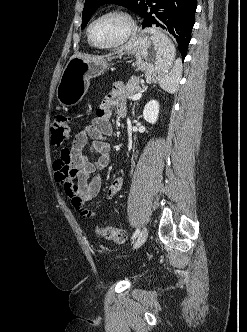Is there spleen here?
I'll list each match as a JSON object with an SVG mask.
<instances>
[{
    "label": "spleen",
    "instance_id": "1",
    "mask_svg": "<svg viewBox=\"0 0 247 332\" xmlns=\"http://www.w3.org/2000/svg\"><path fill=\"white\" fill-rule=\"evenodd\" d=\"M182 64L177 60L174 68L159 80L160 87L168 93H175L178 90L179 79L181 77ZM148 79V78H147Z\"/></svg>",
    "mask_w": 247,
    "mask_h": 332
}]
</instances>
